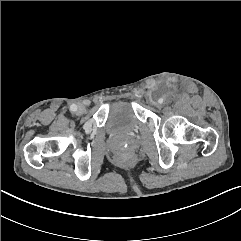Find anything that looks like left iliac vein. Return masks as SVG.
<instances>
[{
  "label": "left iliac vein",
  "mask_w": 241,
  "mask_h": 241,
  "mask_svg": "<svg viewBox=\"0 0 241 241\" xmlns=\"http://www.w3.org/2000/svg\"><path fill=\"white\" fill-rule=\"evenodd\" d=\"M153 104H154L155 106H159V104H158L157 102H154V101H153Z\"/></svg>",
  "instance_id": "1"
}]
</instances>
